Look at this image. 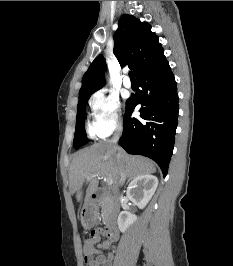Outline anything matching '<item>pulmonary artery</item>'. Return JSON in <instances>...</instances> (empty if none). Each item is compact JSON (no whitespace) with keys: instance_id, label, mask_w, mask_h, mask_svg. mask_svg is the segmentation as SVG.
Listing matches in <instances>:
<instances>
[{"instance_id":"1","label":"pulmonary artery","mask_w":233,"mask_h":266,"mask_svg":"<svg viewBox=\"0 0 233 266\" xmlns=\"http://www.w3.org/2000/svg\"><path fill=\"white\" fill-rule=\"evenodd\" d=\"M123 85H124V87H126L128 89L132 87L131 80L129 79V77L127 75L124 76V78H123Z\"/></svg>"}]
</instances>
